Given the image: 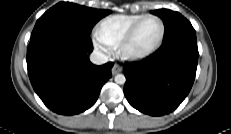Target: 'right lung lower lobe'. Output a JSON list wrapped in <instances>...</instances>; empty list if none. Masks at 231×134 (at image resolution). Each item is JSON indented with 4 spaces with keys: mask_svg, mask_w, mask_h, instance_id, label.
Returning <instances> with one entry per match:
<instances>
[{
    "mask_svg": "<svg viewBox=\"0 0 231 134\" xmlns=\"http://www.w3.org/2000/svg\"><path fill=\"white\" fill-rule=\"evenodd\" d=\"M88 35L63 24L32 32L27 48L31 84L52 111L74 115L90 108L103 84L111 78L112 62L93 65Z\"/></svg>",
    "mask_w": 231,
    "mask_h": 134,
    "instance_id": "98d812e1",
    "label": "right lung lower lobe"
}]
</instances>
